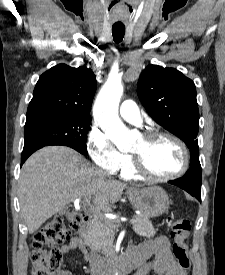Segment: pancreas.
Instances as JSON below:
<instances>
[{"mask_svg": "<svg viewBox=\"0 0 225 275\" xmlns=\"http://www.w3.org/2000/svg\"><path fill=\"white\" fill-rule=\"evenodd\" d=\"M133 218V229L136 234L142 237L151 238L156 234L151 221L143 215H135ZM119 220H108L105 218L93 219L87 227L86 242L94 251H101L109 254L113 247L114 237L119 226Z\"/></svg>", "mask_w": 225, "mask_h": 275, "instance_id": "obj_1", "label": "pancreas"}]
</instances>
